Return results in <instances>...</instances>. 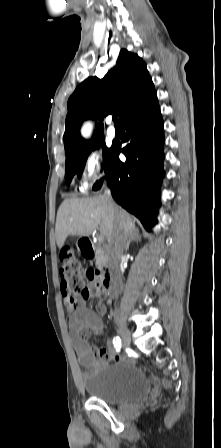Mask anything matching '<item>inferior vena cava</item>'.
<instances>
[{"instance_id":"inferior-vena-cava-1","label":"inferior vena cava","mask_w":221,"mask_h":448,"mask_svg":"<svg viewBox=\"0 0 221 448\" xmlns=\"http://www.w3.org/2000/svg\"><path fill=\"white\" fill-rule=\"evenodd\" d=\"M106 197L108 198L110 208L117 215H119V211H118L114 201L108 195H106ZM126 241H127V236L123 232L121 224L118 223L115 227L114 243H113L112 249H111V256H112L113 261L116 264L119 263L120 258L124 252V249L126 247Z\"/></svg>"}]
</instances>
